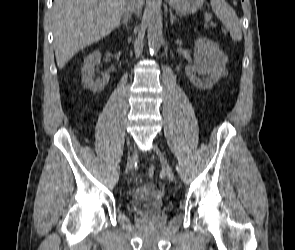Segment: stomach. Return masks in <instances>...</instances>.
<instances>
[{
  "label": "stomach",
  "mask_w": 295,
  "mask_h": 250,
  "mask_svg": "<svg viewBox=\"0 0 295 250\" xmlns=\"http://www.w3.org/2000/svg\"><path fill=\"white\" fill-rule=\"evenodd\" d=\"M166 2L177 12L188 14L200 9L204 0H166Z\"/></svg>",
  "instance_id": "0dacf381"
}]
</instances>
